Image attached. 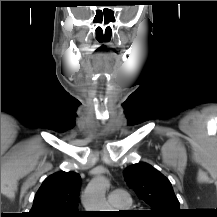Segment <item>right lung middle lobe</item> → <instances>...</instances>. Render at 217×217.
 Returning a JSON list of instances; mask_svg holds the SVG:
<instances>
[{
  "label": "right lung middle lobe",
  "mask_w": 217,
  "mask_h": 217,
  "mask_svg": "<svg viewBox=\"0 0 217 217\" xmlns=\"http://www.w3.org/2000/svg\"><path fill=\"white\" fill-rule=\"evenodd\" d=\"M66 217H75V216H73V215H69V216H66Z\"/></svg>",
  "instance_id": "obj_1"
}]
</instances>
